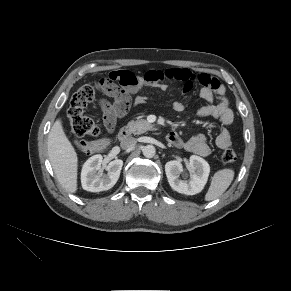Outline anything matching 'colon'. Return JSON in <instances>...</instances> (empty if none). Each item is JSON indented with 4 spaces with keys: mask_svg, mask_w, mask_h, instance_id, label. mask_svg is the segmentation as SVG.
I'll return each mask as SVG.
<instances>
[{
    "mask_svg": "<svg viewBox=\"0 0 291 291\" xmlns=\"http://www.w3.org/2000/svg\"><path fill=\"white\" fill-rule=\"evenodd\" d=\"M111 87L110 79L101 78L93 84L81 86L72 96L68 107V118L73 132L81 139L75 140V147L87 154L103 150L108 145V139L101 134L100 127L95 120L86 113L87 106L96 98L97 91L106 93ZM104 101H100L102 105ZM92 137V140L82 139ZM237 159L236 153L226 148L221 153L224 163H233Z\"/></svg>",
    "mask_w": 291,
    "mask_h": 291,
    "instance_id": "obj_1",
    "label": "colon"
}]
</instances>
